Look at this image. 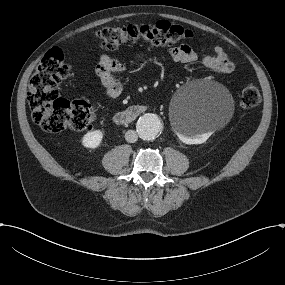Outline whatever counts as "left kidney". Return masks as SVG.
Here are the masks:
<instances>
[{
  "mask_svg": "<svg viewBox=\"0 0 285 285\" xmlns=\"http://www.w3.org/2000/svg\"><path fill=\"white\" fill-rule=\"evenodd\" d=\"M209 136H210L209 133H205L195 138H189L187 140V143L188 144H201V143H204L209 138Z\"/></svg>",
  "mask_w": 285,
  "mask_h": 285,
  "instance_id": "1",
  "label": "left kidney"
}]
</instances>
